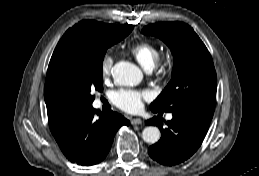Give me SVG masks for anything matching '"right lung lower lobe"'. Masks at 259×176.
Here are the masks:
<instances>
[{"label": "right lung lower lobe", "mask_w": 259, "mask_h": 176, "mask_svg": "<svg viewBox=\"0 0 259 176\" xmlns=\"http://www.w3.org/2000/svg\"><path fill=\"white\" fill-rule=\"evenodd\" d=\"M95 113L92 106L72 109L49 123L60 149L71 162L83 166L101 162L108 154L117 130L130 124L113 111L101 113L98 119Z\"/></svg>", "instance_id": "98d812e1"}]
</instances>
